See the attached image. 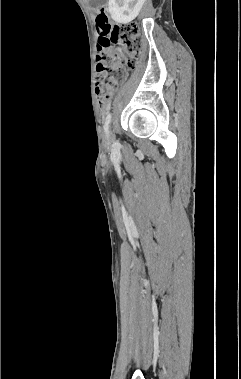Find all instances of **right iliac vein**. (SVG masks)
Returning a JSON list of instances; mask_svg holds the SVG:
<instances>
[{
  "label": "right iliac vein",
  "instance_id": "63e3f726",
  "mask_svg": "<svg viewBox=\"0 0 241 379\" xmlns=\"http://www.w3.org/2000/svg\"><path fill=\"white\" fill-rule=\"evenodd\" d=\"M109 138H110V141L112 142V141H113V137H112V135H110V137H109Z\"/></svg>",
  "mask_w": 241,
  "mask_h": 379
}]
</instances>
